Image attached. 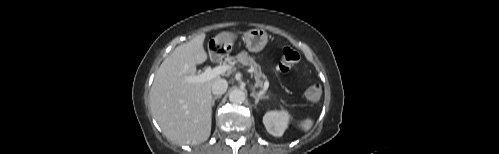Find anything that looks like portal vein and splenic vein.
<instances>
[{
    "label": "portal vein and splenic vein",
    "instance_id": "portal-vein-and-splenic-vein-1",
    "mask_svg": "<svg viewBox=\"0 0 499 154\" xmlns=\"http://www.w3.org/2000/svg\"><path fill=\"white\" fill-rule=\"evenodd\" d=\"M231 68L232 67L230 65H228V64L219 65V66H217L215 68L208 67L201 74L193 75V76H187L185 78V81L189 82V83H203V82L211 80V79H213V78H215V77H217V76H219L221 74H225L227 71H230ZM268 85H269V83L265 82L264 88L261 91V93H264L267 90Z\"/></svg>",
    "mask_w": 499,
    "mask_h": 154
}]
</instances>
